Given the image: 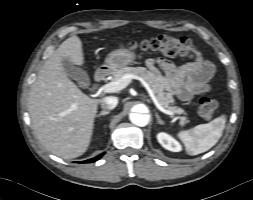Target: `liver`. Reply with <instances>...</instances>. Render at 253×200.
I'll return each instance as SVG.
<instances>
[{"instance_id": "obj_1", "label": "liver", "mask_w": 253, "mask_h": 200, "mask_svg": "<svg viewBox=\"0 0 253 200\" xmlns=\"http://www.w3.org/2000/svg\"><path fill=\"white\" fill-rule=\"evenodd\" d=\"M84 63L82 42L66 39L40 69L28 97V111L43 147L63 159L82 155L93 135L100 99L84 94L66 75L62 60Z\"/></svg>"}]
</instances>
